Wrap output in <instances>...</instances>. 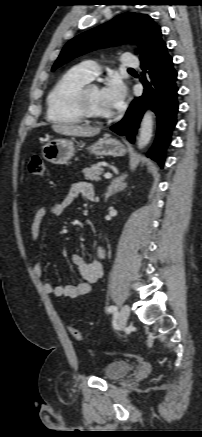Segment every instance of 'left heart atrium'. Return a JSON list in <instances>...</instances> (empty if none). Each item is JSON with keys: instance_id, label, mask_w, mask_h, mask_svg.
I'll return each instance as SVG.
<instances>
[{"instance_id": "1", "label": "left heart atrium", "mask_w": 202, "mask_h": 437, "mask_svg": "<svg viewBox=\"0 0 202 437\" xmlns=\"http://www.w3.org/2000/svg\"><path fill=\"white\" fill-rule=\"evenodd\" d=\"M102 94L110 112L115 113L122 108L127 90L121 80L112 78L102 89Z\"/></svg>"}]
</instances>
